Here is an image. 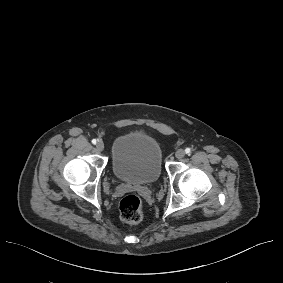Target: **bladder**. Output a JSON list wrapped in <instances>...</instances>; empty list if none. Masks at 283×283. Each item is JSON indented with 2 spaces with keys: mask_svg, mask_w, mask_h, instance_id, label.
Here are the masks:
<instances>
[{
  "mask_svg": "<svg viewBox=\"0 0 283 283\" xmlns=\"http://www.w3.org/2000/svg\"><path fill=\"white\" fill-rule=\"evenodd\" d=\"M162 153L151 136L136 132L118 137L113 145L112 168L123 182L151 184L161 174Z\"/></svg>",
  "mask_w": 283,
  "mask_h": 283,
  "instance_id": "31cf9c89",
  "label": "bladder"
}]
</instances>
